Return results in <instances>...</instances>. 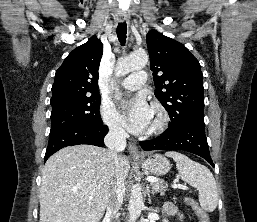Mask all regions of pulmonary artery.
Returning <instances> with one entry per match:
<instances>
[{"instance_id":"e3ab8cb5","label":"pulmonary artery","mask_w":257,"mask_h":222,"mask_svg":"<svg viewBox=\"0 0 257 222\" xmlns=\"http://www.w3.org/2000/svg\"><path fill=\"white\" fill-rule=\"evenodd\" d=\"M146 80V73L144 71H139L133 75L126 77L122 81V86L127 90H136L144 85Z\"/></svg>"}]
</instances>
